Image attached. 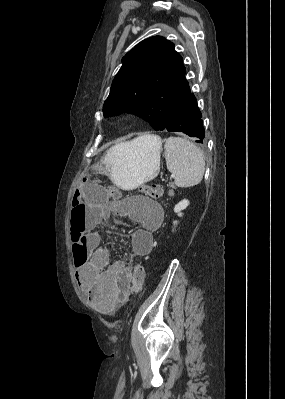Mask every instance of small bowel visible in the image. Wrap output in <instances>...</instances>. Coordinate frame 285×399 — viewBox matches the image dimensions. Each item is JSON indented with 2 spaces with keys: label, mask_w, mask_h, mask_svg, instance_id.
<instances>
[{
  "label": "small bowel",
  "mask_w": 285,
  "mask_h": 399,
  "mask_svg": "<svg viewBox=\"0 0 285 399\" xmlns=\"http://www.w3.org/2000/svg\"><path fill=\"white\" fill-rule=\"evenodd\" d=\"M128 215L140 226L130 236L131 253H125L127 258L123 261L112 260L117 242L103 244L100 235L85 230L86 220H70L72 256L76 264L82 261L76 272L78 285L103 315L113 314L131 292H139L133 287L134 265L130 256L149 254L154 243L152 235L159 230L163 220L161 208L155 205L138 204L133 213L122 212L118 205L112 204L97 209L98 218Z\"/></svg>",
  "instance_id": "1"
}]
</instances>
